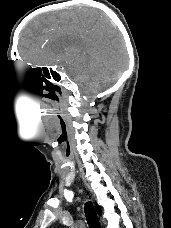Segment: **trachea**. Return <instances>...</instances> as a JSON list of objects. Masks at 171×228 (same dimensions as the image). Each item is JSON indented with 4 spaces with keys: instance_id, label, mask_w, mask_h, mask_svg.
<instances>
[{
    "instance_id": "1",
    "label": "trachea",
    "mask_w": 171,
    "mask_h": 228,
    "mask_svg": "<svg viewBox=\"0 0 171 228\" xmlns=\"http://www.w3.org/2000/svg\"><path fill=\"white\" fill-rule=\"evenodd\" d=\"M87 223L90 228H100L99 221L92 202H87L84 207Z\"/></svg>"
}]
</instances>
